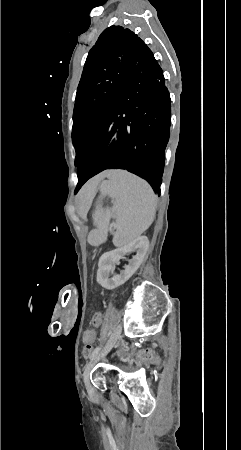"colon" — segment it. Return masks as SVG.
I'll use <instances>...</instances> for the list:
<instances>
[{
	"label": "colon",
	"mask_w": 241,
	"mask_h": 450,
	"mask_svg": "<svg viewBox=\"0 0 241 450\" xmlns=\"http://www.w3.org/2000/svg\"><path fill=\"white\" fill-rule=\"evenodd\" d=\"M96 326L94 324H89L87 328L83 329V336L87 337L88 339H91L95 336ZM94 350V345L92 343H87L83 348L81 355L86 356L89 355ZM143 354H139L138 356L144 361L145 359L148 361L150 358L154 359L155 361L158 359L156 357V354L152 352L151 347L145 346L142 349ZM146 357V358H145Z\"/></svg>",
	"instance_id": "1"
}]
</instances>
